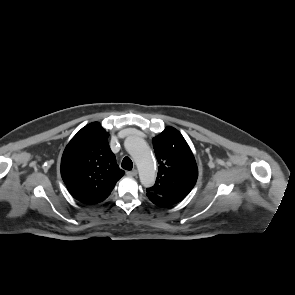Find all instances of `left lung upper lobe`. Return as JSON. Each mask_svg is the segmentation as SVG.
<instances>
[{
    "mask_svg": "<svg viewBox=\"0 0 295 295\" xmlns=\"http://www.w3.org/2000/svg\"><path fill=\"white\" fill-rule=\"evenodd\" d=\"M153 147L159 163L154 193L175 203L181 202L192 190L198 177L194 155L181 133L166 127L153 138Z\"/></svg>",
    "mask_w": 295,
    "mask_h": 295,
    "instance_id": "1",
    "label": "left lung upper lobe"
}]
</instances>
